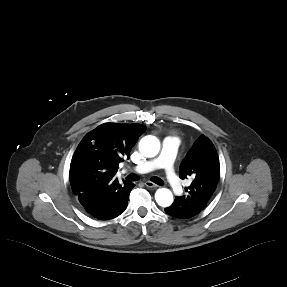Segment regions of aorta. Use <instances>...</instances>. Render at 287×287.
<instances>
[{"label": "aorta", "mask_w": 287, "mask_h": 287, "mask_svg": "<svg viewBox=\"0 0 287 287\" xmlns=\"http://www.w3.org/2000/svg\"><path fill=\"white\" fill-rule=\"evenodd\" d=\"M139 150L145 157H154L160 150V142L155 136H145L140 140ZM155 200L161 207H169L173 203V194L167 188H160L155 193Z\"/></svg>", "instance_id": "obj_1"}]
</instances>
